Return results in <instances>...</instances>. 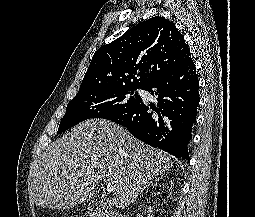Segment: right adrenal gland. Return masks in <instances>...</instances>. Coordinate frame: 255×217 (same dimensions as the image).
Instances as JSON below:
<instances>
[{"label":"right adrenal gland","mask_w":255,"mask_h":217,"mask_svg":"<svg viewBox=\"0 0 255 217\" xmlns=\"http://www.w3.org/2000/svg\"><path fill=\"white\" fill-rule=\"evenodd\" d=\"M154 181L156 182L157 179H155ZM151 183H153V181H151L150 183H148V184H147V187H148Z\"/></svg>","instance_id":"1"}]
</instances>
